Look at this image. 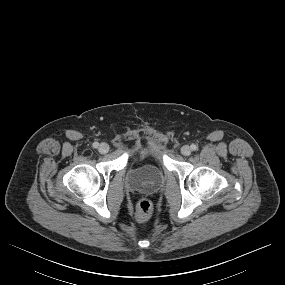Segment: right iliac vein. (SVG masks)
I'll list each match as a JSON object with an SVG mask.
<instances>
[{
	"label": "right iliac vein",
	"instance_id": "obj_1",
	"mask_svg": "<svg viewBox=\"0 0 285 285\" xmlns=\"http://www.w3.org/2000/svg\"><path fill=\"white\" fill-rule=\"evenodd\" d=\"M98 151L101 154H106L109 151V145L107 143H101L99 145Z\"/></svg>",
	"mask_w": 285,
	"mask_h": 285
}]
</instances>
